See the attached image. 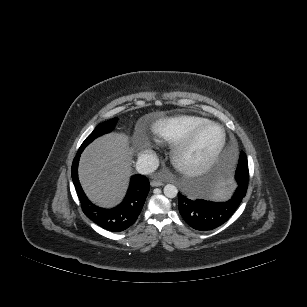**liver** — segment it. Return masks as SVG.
Returning a JSON list of instances; mask_svg holds the SVG:
<instances>
[{
    "instance_id": "6515ba94",
    "label": "liver",
    "mask_w": 307,
    "mask_h": 307,
    "mask_svg": "<svg viewBox=\"0 0 307 307\" xmlns=\"http://www.w3.org/2000/svg\"><path fill=\"white\" fill-rule=\"evenodd\" d=\"M133 149L123 133L96 139L82 153L78 174L80 183L95 204L110 208L125 195L131 175Z\"/></svg>"
}]
</instances>
